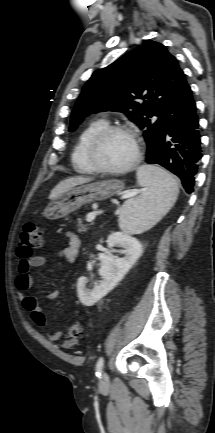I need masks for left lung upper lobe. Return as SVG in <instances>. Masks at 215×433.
I'll return each mask as SVG.
<instances>
[{"label": "left lung upper lobe", "instance_id": "1", "mask_svg": "<svg viewBox=\"0 0 215 433\" xmlns=\"http://www.w3.org/2000/svg\"><path fill=\"white\" fill-rule=\"evenodd\" d=\"M184 80L177 60L165 46L148 41L93 73L75 104L69 131L91 113L120 111L144 129L149 155L163 127L164 112ZM153 116L158 120L152 122L149 118Z\"/></svg>", "mask_w": 215, "mask_h": 433}]
</instances>
